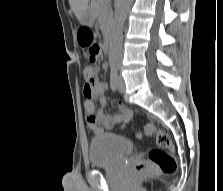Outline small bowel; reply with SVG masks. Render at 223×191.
Listing matches in <instances>:
<instances>
[{
	"label": "small bowel",
	"mask_w": 223,
	"mask_h": 191,
	"mask_svg": "<svg viewBox=\"0 0 223 191\" xmlns=\"http://www.w3.org/2000/svg\"><path fill=\"white\" fill-rule=\"evenodd\" d=\"M106 90L107 84L100 80H95L92 84H85L83 88V94L86 97L84 108L87 113V125L97 135L104 133V129H110L115 124L128 123L133 115L132 110L122 102L117 104L118 112L115 115L106 113L103 109ZM94 100H99L102 108H96Z\"/></svg>",
	"instance_id": "c3829d8e"
}]
</instances>
